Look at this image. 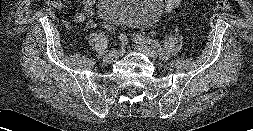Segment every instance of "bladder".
Returning a JSON list of instances; mask_svg holds the SVG:
<instances>
[{"label":"bladder","mask_w":253,"mask_h":131,"mask_svg":"<svg viewBox=\"0 0 253 131\" xmlns=\"http://www.w3.org/2000/svg\"><path fill=\"white\" fill-rule=\"evenodd\" d=\"M100 17L110 25L153 24L162 13L159 0H100Z\"/></svg>","instance_id":"31cf9c89"}]
</instances>
